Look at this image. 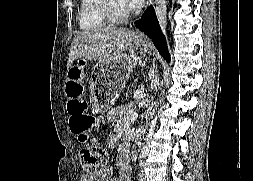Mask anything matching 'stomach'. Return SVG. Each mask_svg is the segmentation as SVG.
Instances as JSON below:
<instances>
[{"label":"stomach","mask_w":253,"mask_h":181,"mask_svg":"<svg viewBox=\"0 0 253 181\" xmlns=\"http://www.w3.org/2000/svg\"><path fill=\"white\" fill-rule=\"evenodd\" d=\"M138 43L145 52H150L147 44L141 41ZM132 68V59L125 53L117 59L98 62L95 65L91 78V91L94 98L92 110L94 113H103L112 107Z\"/></svg>","instance_id":"0dacf381"}]
</instances>
